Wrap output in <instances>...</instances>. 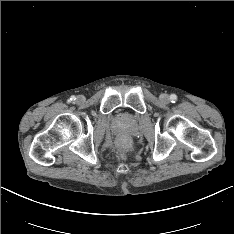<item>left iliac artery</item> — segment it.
<instances>
[{
    "label": "left iliac artery",
    "mask_w": 234,
    "mask_h": 234,
    "mask_svg": "<svg viewBox=\"0 0 234 234\" xmlns=\"http://www.w3.org/2000/svg\"><path fill=\"white\" fill-rule=\"evenodd\" d=\"M171 102L175 103L177 101V96L175 94L170 95Z\"/></svg>",
    "instance_id": "44dca946"
}]
</instances>
